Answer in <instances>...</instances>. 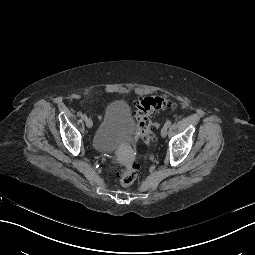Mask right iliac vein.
<instances>
[{"instance_id": "1", "label": "right iliac vein", "mask_w": 255, "mask_h": 255, "mask_svg": "<svg viewBox=\"0 0 255 255\" xmlns=\"http://www.w3.org/2000/svg\"><path fill=\"white\" fill-rule=\"evenodd\" d=\"M85 123L88 128H91L93 126V121L90 118H87L85 120Z\"/></svg>"}]
</instances>
